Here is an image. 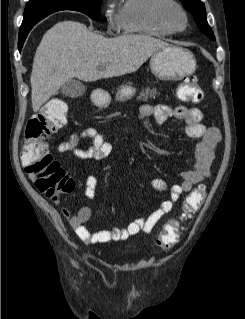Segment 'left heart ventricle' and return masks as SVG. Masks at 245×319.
<instances>
[{
	"instance_id": "b2bd125f",
	"label": "left heart ventricle",
	"mask_w": 245,
	"mask_h": 319,
	"mask_svg": "<svg viewBox=\"0 0 245 319\" xmlns=\"http://www.w3.org/2000/svg\"><path fill=\"white\" fill-rule=\"evenodd\" d=\"M175 21L178 23V18L177 17L175 18Z\"/></svg>"
}]
</instances>
